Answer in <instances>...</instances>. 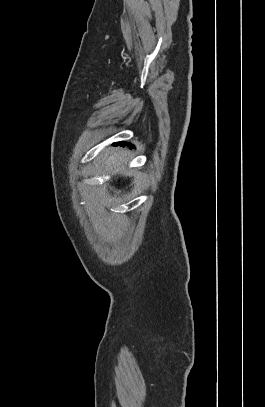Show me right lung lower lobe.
Wrapping results in <instances>:
<instances>
[{"label":"right lung lower lobe","mask_w":265,"mask_h":407,"mask_svg":"<svg viewBox=\"0 0 265 407\" xmlns=\"http://www.w3.org/2000/svg\"><path fill=\"white\" fill-rule=\"evenodd\" d=\"M113 145H115V146H117V145H120V146H124V145H128L130 148H132V145L131 144H129V143H123V142H121V143H114Z\"/></svg>","instance_id":"98d812e1"}]
</instances>
